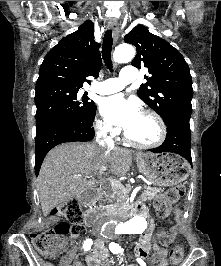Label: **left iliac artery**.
Wrapping results in <instances>:
<instances>
[{"mask_svg": "<svg viewBox=\"0 0 221 266\" xmlns=\"http://www.w3.org/2000/svg\"><path fill=\"white\" fill-rule=\"evenodd\" d=\"M109 249L113 254H118V253H121L123 251L121 246L115 242H111L109 244ZM137 261L140 264V266H146L145 262L142 259L138 258Z\"/></svg>", "mask_w": 221, "mask_h": 266, "instance_id": "obj_1", "label": "left iliac artery"}]
</instances>
